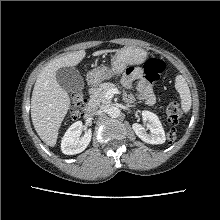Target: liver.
I'll return each instance as SVG.
<instances>
[{"label": "liver", "mask_w": 220, "mask_h": 220, "mask_svg": "<svg viewBox=\"0 0 220 220\" xmlns=\"http://www.w3.org/2000/svg\"><path fill=\"white\" fill-rule=\"evenodd\" d=\"M119 50H99L93 56ZM79 50L51 61L38 75L31 98V118L37 134L49 146L57 143L62 121L70 109V97L59 85L56 71L62 67H73L85 57Z\"/></svg>", "instance_id": "obj_1"}]
</instances>
